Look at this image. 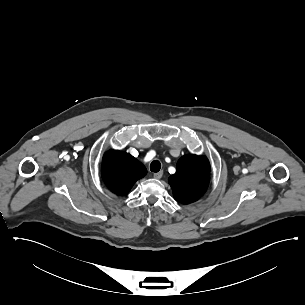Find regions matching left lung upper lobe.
Wrapping results in <instances>:
<instances>
[{
  "label": "left lung upper lobe",
  "instance_id": "left-lung-upper-lobe-1",
  "mask_svg": "<svg viewBox=\"0 0 305 305\" xmlns=\"http://www.w3.org/2000/svg\"><path fill=\"white\" fill-rule=\"evenodd\" d=\"M210 181V164L206 157L182 156L176 173L169 177L174 199L182 204L197 201L206 192Z\"/></svg>",
  "mask_w": 305,
  "mask_h": 305
}]
</instances>
